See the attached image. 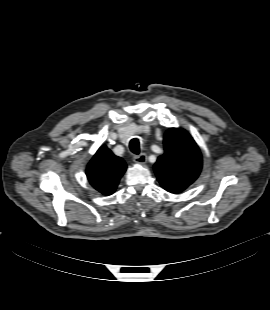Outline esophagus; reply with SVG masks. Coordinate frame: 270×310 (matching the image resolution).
Returning <instances> with one entry per match:
<instances>
[{
    "label": "esophagus",
    "mask_w": 270,
    "mask_h": 310,
    "mask_svg": "<svg viewBox=\"0 0 270 310\" xmlns=\"http://www.w3.org/2000/svg\"><path fill=\"white\" fill-rule=\"evenodd\" d=\"M134 162L141 165L145 164L147 162V155L144 153L136 155L134 157Z\"/></svg>",
    "instance_id": "obj_1"
}]
</instances>
